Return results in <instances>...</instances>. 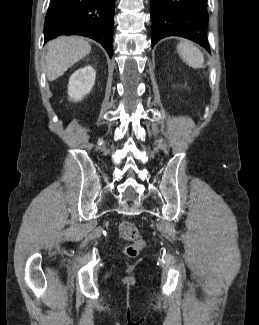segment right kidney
I'll return each mask as SVG.
<instances>
[{"mask_svg": "<svg viewBox=\"0 0 259 325\" xmlns=\"http://www.w3.org/2000/svg\"><path fill=\"white\" fill-rule=\"evenodd\" d=\"M96 78V71L91 65L75 71L68 83V95L73 101H81L92 90Z\"/></svg>", "mask_w": 259, "mask_h": 325, "instance_id": "ca27d5eb", "label": "right kidney"}]
</instances>
